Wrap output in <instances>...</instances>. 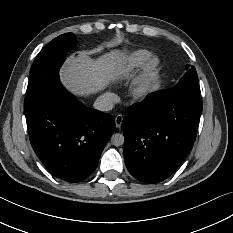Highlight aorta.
Wrapping results in <instances>:
<instances>
[{
    "mask_svg": "<svg viewBox=\"0 0 233 233\" xmlns=\"http://www.w3.org/2000/svg\"><path fill=\"white\" fill-rule=\"evenodd\" d=\"M111 143L114 146H121L124 143V136L120 133H115L111 137Z\"/></svg>",
    "mask_w": 233,
    "mask_h": 233,
    "instance_id": "aorta-1",
    "label": "aorta"
}]
</instances>
